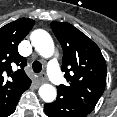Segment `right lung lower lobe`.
Returning a JSON list of instances; mask_svg holds the SVG:
<instances>
[{
    "mask_svg": "<svg viewBox=\"0 0 117 117\" xmlns=\"http://www.w3.org/2000/svg\"><path fill=\"white\" fill-rule=\"evenodd\" d=\"M17 103H18V101H17L7 112H5V113H4L2 116H0V117H7V116L11 115V114L15 111L16 106H17Z\"/></svg>",
    "mask_w": 117,
    "mask_h": 117,
    "instance_id": "98d812e1",
    "label": "right lung lower lobe"
}]
</instances>
